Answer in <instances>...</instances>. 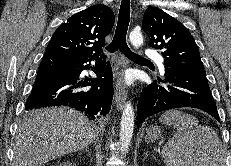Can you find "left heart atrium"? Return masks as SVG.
Instances as JSON below:
<instances>
[{
    "label": "left heart atrium",
    "instance_id": "obj_1",
    "mask_svg": "<svg viewBox=\"0 0 231 166\" xmlns=\"http://www.w3.org/2000/svg\"><path fill=\"white\" fill-rule=\"evenodd\" d=\"M126 80L130 81L131 80V76L130 75H126Z\"/></svg>",
    "mask_w": 231,
    "mask_h": 166
}]
</instances>
